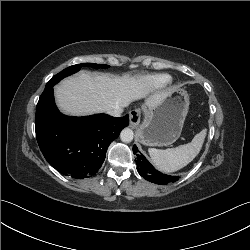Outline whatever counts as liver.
Masks as SVG:
<instances>
[{
    "mask_svg": "<svg viewBox=\"0 0 250 250\" xmlns=\"http://www.w3.org/2000/svg\"><path fill=\"white\" fill-rule=\"evenodd\" d=\"M174 88L154 93L145 104L155 107ZM151 92L150 86L142 79L129 75L122 77L81 72L64 79L55 87V97L59 109L72 116H84L127 107L131 102L145 98Z\"/></svg>",
    "mask_w": 250,
    "mask_h": 250,
    "instance_id": "liver-1",
    "label": "liver"
}]
</instances>
